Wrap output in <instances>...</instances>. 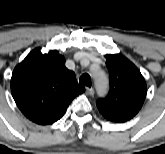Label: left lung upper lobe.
I'll return each instance as SVG.
<instances>
[{"label": "left lung upper lobe", "instance_id": "obj_1", "mask_svg": "<svg viewBox=\"0 0 165 154\" xmlns=\"http://www.w3.org/2000/svg\"><path fill=\"white\" fill-rule=\"evenodd\" d=\"M105 57L110 90L96 104L107 120L125 122L142 107L147 92L146 83L137 67L121 54H107Z\"/></svg>", "mask_w": 165, "mask_h": 154}]
</instances>
